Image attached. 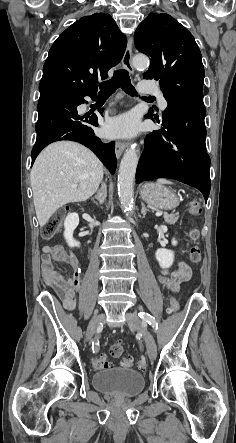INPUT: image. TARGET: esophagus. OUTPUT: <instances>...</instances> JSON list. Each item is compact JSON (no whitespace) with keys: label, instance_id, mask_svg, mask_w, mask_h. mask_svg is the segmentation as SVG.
Segmentation results:
<instances>
[{"label":"esophagus","instance_id":"1","mask_svg":"<svg viewBox=\"0 0 236 443\" xmlns=\"http://www.w3.org/2000/svg\"><path fill=\"white\" fill-rule=\"evenodd\" d=\"M132 43H133V39L132 37H130L128 39V43H127V47L122 59V65L123 67L130 72L131 74L134 73V68L132 65ZM128 144L125 142H120L117 141L115 144V152H116V157L119 159L122 155V153L124 152V150L127 148Z\"/></svg>","mask_w":236,"mask_h":443}]
</instances>
